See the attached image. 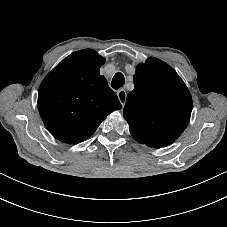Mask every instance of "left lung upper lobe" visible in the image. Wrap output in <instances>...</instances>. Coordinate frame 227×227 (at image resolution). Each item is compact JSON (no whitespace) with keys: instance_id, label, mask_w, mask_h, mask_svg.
Here are the masks:
<instances>
[{"instance_id":"obj_1","label":"left lung upper lobe","mask_w":227,"mask_h":227,"mask_svg":"<svg viewBox=\"0 0 227 227\" xmlns=\"http://www.w3.org/2000/svg\"><path fill=\"white\" fill-rule=\"evenodd\" d=\"M134 90L123 116L133 138L149 147H165L187 127L192 98L179 75L165 62L149 58L136 68Z\"/></svg>"}]
</instances>
